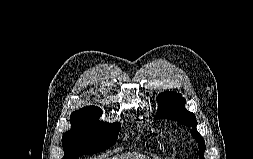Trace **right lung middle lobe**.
<instances>
[{
	"label": "right lung middle lobe",
	"mask_w": 253,
	"mask_h": 159,
	"mask_svg": "<svg viewBox=\"0 0 253 159\" xmlns=\"http://www.w3.org/2000/svg\"><path fill=\"white\" fill-rule=\"evenodd\" d=\"M101 114L102 110L95 106L71 114V129L62 137L63 159H76L79 155L96 153L115 144L120 123L99 122Z\"/></svg>",
	"instance_id": "right-lung-middle-lobe-1"
}]
</instances>
